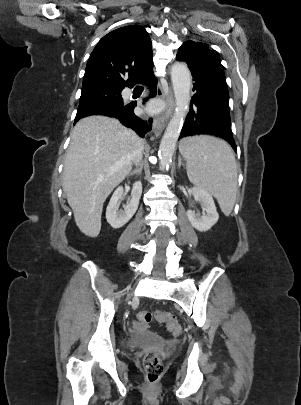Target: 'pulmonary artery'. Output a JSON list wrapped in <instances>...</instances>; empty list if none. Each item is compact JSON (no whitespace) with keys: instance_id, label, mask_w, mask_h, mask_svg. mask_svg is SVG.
Listing matches in <instances>:
<instances>
[{"instance_id":"1","label":"pulmonary artery","mask_w":301,"mask_h":405,"mask_svg":"<svg viewBox=\"0 0 301 405\" xmlns=\"http://www.w3.org/2000/svg\"><path fill=\"white\" fill-rule=\"evenodd\" d=\"M125 94H129V90H126V91H125Z\"/></svg>"}]
</instances>
